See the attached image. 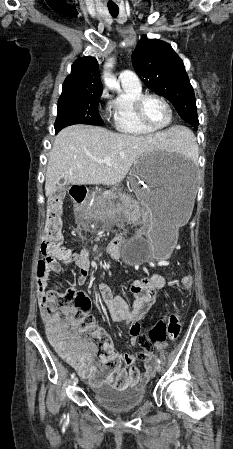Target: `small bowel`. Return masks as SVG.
Listing matches in <instances>:
<instances>
[{"label": "small bowel", "instance_id": "1", "mask_svg": "<svg viewBox=\"0 0 233 449\" xmlns=\"http://www.w3.org/2000/svg\"><path fill=\"white\" fill-rule=\"evenodd\" d=\"M109 253L112 257L117 255V252L111 249H109ZM68 264H74L78 269V284H85L90 269L89 251L83 249L79 253L69 252L67 256L59 257L49 263L44 270H38L37 288L42 300L47 296L46 287L50 274L59 271L62 265ZM146 274V278L133 282L131 290L134 292V298L132 300L123 295H114L111 289L105 284L99 285V292L109 310L111 318L116 322H123L128 325L129 340L132 345L137 344V339L140 334L139 321L146 315L154 303L156 292L166 285V279L162 274L147 271ZM68 346L71 348L69 356L73 361L72 365L93 386H100L104 382H113L116 379L122 380L125 385L144 381L151 375L155 365V357L150 353L145 359V372L143 376L140 379H136V377L128 374L121 367L122 360L131 356H125L123 358L118 355L110 340L101 345L103 354L100 356L97 364L94 362L96 348L79 351L74 343ZM56 349L59 351L57 347ZM105 372H107V377L104 380L102 374Z\"/></svg>", "mask_w": 233, "mask_h": 449}]
</instances>
